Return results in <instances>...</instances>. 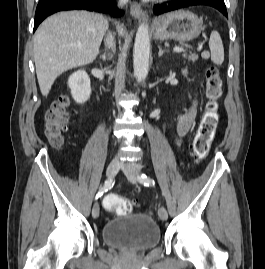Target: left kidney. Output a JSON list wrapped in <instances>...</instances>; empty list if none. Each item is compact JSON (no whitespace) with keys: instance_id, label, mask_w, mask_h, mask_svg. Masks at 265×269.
Here are the masks:
<instances>
[{"instance_id":"obj_1","label":"left kidney","mask_w":265,"mask_h":269,"mask_svg":"<svg viewBox=\"0 0 265 269\" xmlns=\"http://www.w3.org/2000/svg\"><path fill=\"white\" fill-rule=\"evenodd\" d=\"M182 73H183L184 75H186V74H187V70H183Z\"/></svg>"}]
</instances>
